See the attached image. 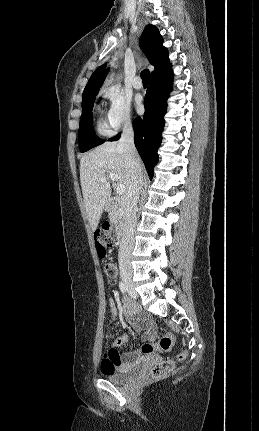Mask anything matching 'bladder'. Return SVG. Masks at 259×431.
<instances>
[{
  "instance_id": "31cf9c89",
  "label": "bladder",
  "mask_w": 259,
  "mask_h": 431,
  "mask_svg": "<svg viewBox=\"0 0 259 431\" xmlns=\"http://www.w3.org/2000/svg\"><path fill=\"white\" fill-rule=\"evenodd\" d=\"M139 371L138 364H125L123 366L117 367L116 369L105 372L104 378L109 382L120 384L128 380L131 376Z\"/></svg>"
}]
</instances>
